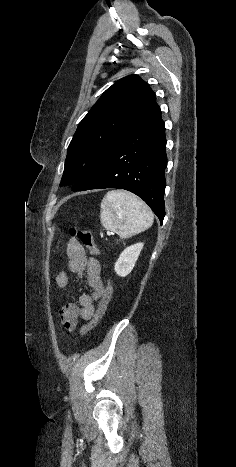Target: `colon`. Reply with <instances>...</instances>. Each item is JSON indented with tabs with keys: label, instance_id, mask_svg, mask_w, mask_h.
Segmentation results:
<instances>
[{
	"label": "colon",
	"instance_id": "obj_1",
	"mask_svg": "<svg viewBox=\"0 0 236 467\" xmlns=\"http://www.w3.org/2000/svg\"><path fill=\"white\" fill-rule=\"evenodd\" d=\"M70 235L73 237V238H77L78 241L83 245L85 246L89 252L92 254V255H99V250L94 242V239H93V235L90 231L88 230H85V229H78V228H75V227H72L70 228ZM110 297H111V286L109 285L108 286V289L106 291V293L104 294V296L102 297L100 303H99V306H98V309L95 313V315L93 316L92 320L85 324L84 326H82L81 330H80V333L82 335H86L89 331H91L92 329H94L97 324L99 323V321L101 320L105 310H106V307H107V304L110 300Z\"/></svg>",
	"mask_w": 236,
	"mask_h": 467
}]
</instances>
